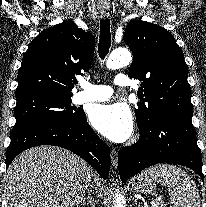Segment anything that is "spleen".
Masks as SVG:
<instances>
[{"mask_svg":"<svg viewBox=\"0 0 206 207\" xmlns=\"http://www.w3.org/2000/svg\"><path fill=\"white\" fill-rule=\"evenodd\" d=\"M140 176L166 186L171 207H201L195 182L181 168L171 164H159L147 168Z\"/></svg>","mask_w":206,"mask_h":207,"instance_id":"obj_1","label":"spleen"}]
</instances>
